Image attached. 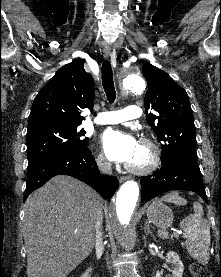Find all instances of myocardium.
<instances>
[{
    "label": "myocardium",
    "instance_id": "1",
    "mask_svg": "<svg viewBox=\"0 0 221 277\" xmlns=\"http://www.w3.org/2000/svg\"><path fill=\"white\" fill-rule=\"evenodd\" d=\"M140 145L143 146L148 153L147 163L144 165H133L127 163L125 168L133 174L145 175L153 172L159 166L161 159L160 151L157 145L148 138H142L140 140Z\"/></svg>",
    "mask_w": 221,
    "mask_h": 277
}]
</instances>
